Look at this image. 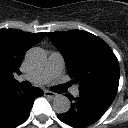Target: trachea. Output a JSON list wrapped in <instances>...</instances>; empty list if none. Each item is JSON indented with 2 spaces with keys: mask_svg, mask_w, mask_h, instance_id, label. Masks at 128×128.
Segmentation results:
<instances>
[{
  "mask_svg": "<svg viewBox=\"0 0 128 128\" xmlns=\"http://www.w3.org/2000/svg\"><path fill=\"white\" fill-rule=\"evenodd\" d=\"M28 84L30 85V83H29V82H26V81H25V82H23V85H24L25 87H29V85H28Z\"/></svg>",
  "mask_w": 128,
  "mask_h": 128,
  "instance_id": "3493384b",
  "label": "trachea"
}]
</instances>
